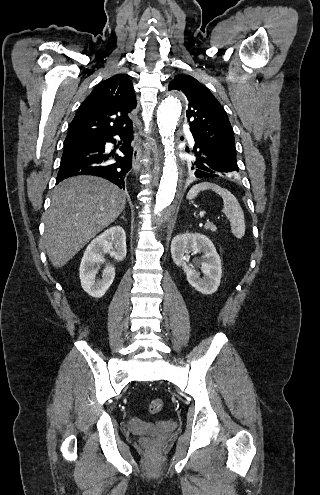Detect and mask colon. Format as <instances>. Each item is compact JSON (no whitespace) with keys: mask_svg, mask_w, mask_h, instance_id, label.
<instances>
[{"mask_svg":"<svg viewBox=\"0 0 320 495\" xmlns=\"http://www.w3.org/2000/svg\"><path fill=\"white\" fill-rule=\"evenodd\" d=\"M163 408V401L159 398L153 399L148 403V412L152 415L158 414Z\"/></svg>","mask_w":320,"mask_h":495,"instance_id":"colon-1","label":"colon"}]
</instances>
